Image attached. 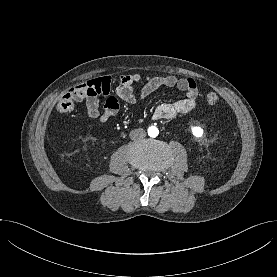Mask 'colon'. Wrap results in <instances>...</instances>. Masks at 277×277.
<instances>
[{
  "mask_svg": "<svg viewBox=\"0 0 277 277\" xmlns=\"http://www.w3.org/2000/svg\"><path fill=\"white\" fill-rule=\"evenodd\" d=\"M85 85H78L70 89L58 102L56 110L61 114H68L74 111L75 102L85 94ZM205 100L209 105H215L219 101L218 94L213 90H208L205 94Z\"/></svg>",
  "mask_w": 277,
  "mask_h": 277,
  "instance_id": "5ec220e1",
  "label": "colon"
}]
</instances>
